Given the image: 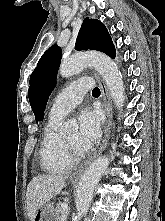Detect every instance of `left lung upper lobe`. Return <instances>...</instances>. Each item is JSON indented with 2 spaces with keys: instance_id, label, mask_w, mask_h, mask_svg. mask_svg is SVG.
<instances>
[{
  "instance_id": "obj_1",
  "label": "left lung upper lobe",
  "mask_w": 165,
  "mask_h": 221,
  "mask_svg": "<svg viewBox=\"0 0 165 221\" xmlns=\"http://www.w3.org/2000/svg\"><path fill=\"white\" fill-rule=\"evenodd\" d=\"M75 49H93L111 58L116 56L115 47L106 27L96 19H84L76 39ZM61 55L60 47L51 46L42 55L30 77L28 96L36 122L42 121L44 117L48 98L56 84Z\"/></svg>"
}]
</instances>
